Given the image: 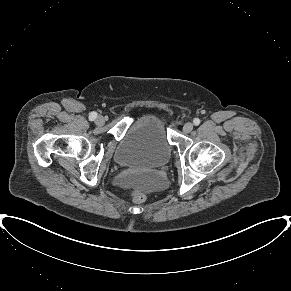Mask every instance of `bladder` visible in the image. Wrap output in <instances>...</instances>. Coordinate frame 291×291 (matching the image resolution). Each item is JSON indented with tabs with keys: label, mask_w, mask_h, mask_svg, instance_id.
I'll return each instance as SVG.
<instances>
[{
	"label": "bladder",
	"mask_w": 291,
	"mask_h": 291,
	"mask_svg": "<svg viewBox=\"0 0 291 291\" xmlns=\"http://www.w3.org/2000/svg\"><path fill=\"white\" fill-rule=\"evenodd\" d=\"M172 148L162 121L144 115L126 130L114 151V160L125 167L153 169L165 166Z\"/></svg>",
	"instance_id": "obj_1"
}]
</instances>
